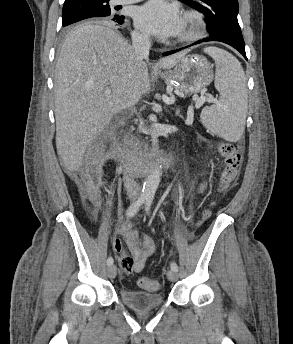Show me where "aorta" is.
<instances>
[{
	"label": "aorta",
	"mask_w": 293,
	"mask_h": 344,
	"mask_svg": "<svg viewBox=\"0 0 293 344\" xmlns=\"http://www.w3.org/2000/svg\"><path fill=\"white\" fill-rule=\"evenodd\" d=\"M149 119L150 121H153L155 119V116L150 115ZM150 136H151L153 157H154L155 163L143 185L142 194L146 197H153L155 195V192L160 183V175H161L160 166H159L160 164L159 146H158L159 140H158V134L155 129H151Z\"/></svg>",
	"instance_id": "aorta-1"
}]
</instances>
